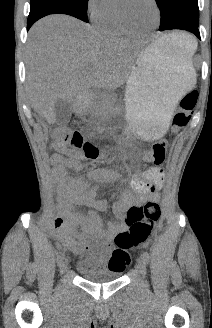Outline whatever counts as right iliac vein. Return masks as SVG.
Wrapping results in <instances>:
<instances>
[{"mask_svg":"<svg viewBox=\"0 0 212 328\" xmlns=\"http://www.w3.org/2000/svg\"><path fill=\"white\" fill-rule=\"evenodd\" d=\"M59 270H60V273L61 274H64L65 271L67 270V263L66 262H62L61 265H60Z\"/></svg>","mask_w":212,"mask_h":328,"instance_id":"63e3f726","label":"right iliac vein"}]
</instances>
